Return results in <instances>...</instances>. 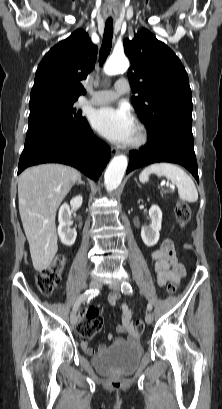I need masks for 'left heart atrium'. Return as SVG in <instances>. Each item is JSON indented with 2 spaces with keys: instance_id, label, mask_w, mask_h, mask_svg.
I'll return each mask as SVG.
<instances>
[{
  "instance_id": "1",
  "label": "left heart atrium",
  "mask_w": 222,
  "mask_h": 409,
  "mask_svg": "<svg viewBox=\"0 0 222 409\" xmlns=\"http://www.w3.org/2000/svg\"><path fill=\"white\" fill-rule=\"evenodd\" d=\"M94 129L109 141L128 144L133 139L136 126L130 111L125 107H102L90 116Z\"/></svg>"
}]
</instances>
